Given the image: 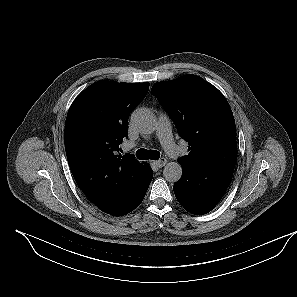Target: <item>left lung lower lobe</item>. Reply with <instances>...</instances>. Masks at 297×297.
Masks as SVG:
<instances>
[{
	"mask_svg": "<svg viewBox=\"0 0 297 297\" xmlns=\"http://www.w3.org/2000/svg\"><path fill=\"white\" fill-rule=\"evenodd\" d=\"M189 175L182 173L181 179L173 186L175 196L184 209L195 215H203L210 212L223 197L225 191H218L215 194H201L190 197L188 187Z\"/></svg>",
	"mask_w": 297,
	"mask_h": 297,
	"instance_id": "1",
	"label": "left lung lower lobe"
}]
</instances>
